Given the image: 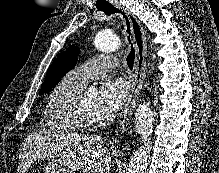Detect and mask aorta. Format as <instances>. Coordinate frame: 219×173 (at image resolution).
<instances>
[{
  "label": "aorta",
  "mask_w": 219,
  "mask_h": 173,
  "mask_svg": "<svg viewBox=\"0 0 219 173\" xmlns=\"http://www.w3.org/2000/svg\"><path fill=\"white\" fill-rule=\"evenodd\" d=\"M94 44L99 51L113 52L121 47V40L116 34L101 30L95 35ZM135 124L143 144L129 161L126 173H144L149 164L152 149L153 113L148 104L143 103L137 108Z\"/></svg>",
  "instance_id": "762f6f07"
}]
</instances>
